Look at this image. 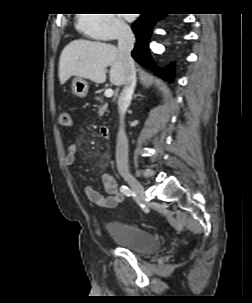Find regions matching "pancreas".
<instances>
[{
	"label": "pancreas",
	"mask_w": 252,
	"mask_h": 303,
	"mask_svg": "<svg viewBox=\"0 0 252 303\" xmlns=\"http://www.w3.org/2000/svg\"><path fill=\"white\" fill-rule=\"evenodd\" d=\"M97 101L101 103V106L99 107L98 115L99 117L103 116L105 112H107V103L104 101L103 97L97 96L95 98Z\"/></svg>",
	"instance_id": "1"
}]
</instances>
